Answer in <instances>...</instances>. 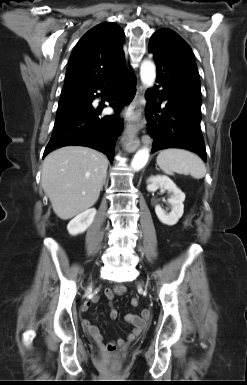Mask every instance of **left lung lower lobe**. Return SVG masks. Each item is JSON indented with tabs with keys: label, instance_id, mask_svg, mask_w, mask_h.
<instances>
[{
	"label": "left lung lower lobe",
	"instance_id": "left-lung-lower-lobe-1",
	"mask_svg": "<svg viewBox=\"0 0 247 385\" xmlns=\"http://www.w3.org/2000/svg\"><path fill=\"white\" fill-rule=\"evenodd\" d=\"M148 51L154 55L157 78L146 92L145 116L154 139L152 153L165 148H182L198 153L206 161L200 128V83L175 61L156 39H150ZM166 100V106L161 103Z\"/></svg>",
	"mask_w": 247,
	"mask_h": 385
}]
</instances>
